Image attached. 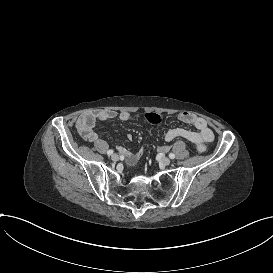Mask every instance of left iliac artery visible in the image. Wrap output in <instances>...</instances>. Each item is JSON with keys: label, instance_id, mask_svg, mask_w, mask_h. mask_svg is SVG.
<instances>
[{"label": "left iliac artery", "instance_id": "obj_1", "mask_svg": "<svg viewBox=\"0 0 273 273\" xmlns=\"http://www.w3.org/2000/svg\"><path fill=\"white\" fill-rule=\"evenodd\" d=\"M169 157H170L171 159H174V158H175V154L170 153V154H169Z\"/></svg>", "mask_w": 273, "mask_h": 273}]
</instances>
